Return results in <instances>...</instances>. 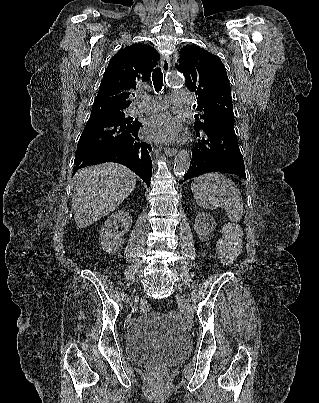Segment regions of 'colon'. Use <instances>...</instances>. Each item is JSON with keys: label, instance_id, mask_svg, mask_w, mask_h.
Wrapping results in <instances>:
<instances>
[{"label": "colon", "instance_id": "obj_1", "mask_svg": "<svg viewBox=\"0 0 319 403\" xmlns=\"http://www.w3.org/2000/svg\"><path fill=\"white\" fill-rule=\"evenodd\" d=\"M241 251V231L238 227L229 224L224 229V237L217 244V252L223 263L232 262ZM140 311L144 314L151 311L146 300L140 302Z\"/></svg>", "mask_w": 319, "mask_h": 403}]
</instances>
